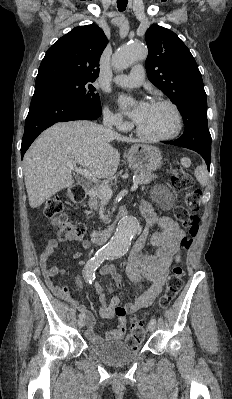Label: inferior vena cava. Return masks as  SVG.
I'll return each mask as SVG.
<instances>
[{"label": "inferior vena cava", "mask_w": 232, "mask_h": 399, "mask_svg": "<svg viewBox=\"0 0 232 399\" xmlns=\"http://www.w3.org/2000/svg\"><path fill=\"white\" fill-rule=\"evenodd\" d=\"M103 126L104 128H107V130H113L112 126H114V120H112L109 114H104Z\"/></svg>", "instance_id": "obj_1"}]
</instances>
